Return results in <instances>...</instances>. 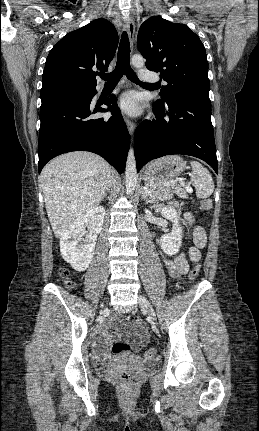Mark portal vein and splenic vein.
I'll return each instance as SVG.
<instances>
[{
	"label": "portal vein and splenic vein",
	"mask_w": 259,
	"mask_h": 431,
	"mask_svg": "<svg viewBox=\"0 0 259 431\" xmlns=\"http://www.w3.org/2000/svg\"><path fill=\"white\" fill-rule=\"evenodd\" d=\"M180 182H181L182 185H185V183L182 180H180ZM169 183L170 184H175V183H177V181H170ZM186 188L188 189L189 192H192V190L188 186ZM145 193L147 195H150L152 193V191L150 189H148V188H145Z\"/></svg>",
	"instance_id": "portal-vein-and-splenic-vein-1"
}]
</instances>
